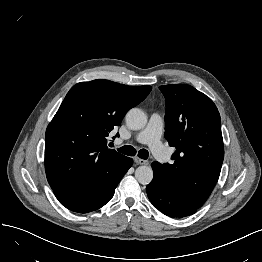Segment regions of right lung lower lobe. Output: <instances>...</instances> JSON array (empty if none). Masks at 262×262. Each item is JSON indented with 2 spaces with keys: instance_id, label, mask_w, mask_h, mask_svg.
Instances as JSON below:
<instances>
[{
  "instance_id": "right-lung-lower-lobe-1",
  "label": "right lung lower lobe",
  "mask_w": 262,
  "mask_h": 262,
  "mask_svg": "<svg viewBox=\"0 0 262 262\" xmlns=\"http://www.w3.org/2000/svg\"><path fill=\"white\" fill-rule=\"evenodd\" d=\"M133 160L126 157L121 162L115 179L110 187L100 192H54L58 201L67 209L87 213L104 206L113 197L118 183L132 166Z\"/></svg>"
}]
</instances>
